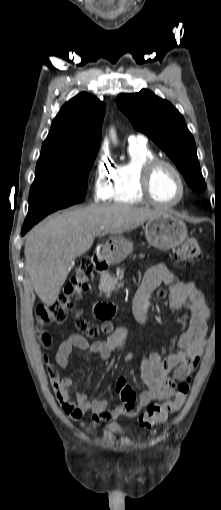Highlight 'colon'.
Wrapping results in <instances>:
<instances>
[{"mask_svg": "<svg viewBox=\"0 0 221 510\" xmlns=\"http://www.w3.org/2000/svg\"><path fill=\"white\" fill-rule=\"evenodd\" d=\"M201 249L195 239H188L177 250L176 258L179 261L194 263L201 258ZM94 276V268L89 260H83L72 277L71 281L66 285L64 292L52 303L40 305L35 309V319L38 324L46 325L49 323H62L66 320L67 315L74 310V302L88 288L89 282ZM158 297H163L164 292L159 290ZM78 320L76 327L79 331L90 338H95L102 333L112 331L110 322L104 323L102 326L90 324L81 318V312L76 311ZM38 338L44 348L51 346V337L44 331L38 332ZM46 363L49 362V356L44 355ZM51 367V366H50ZM56 374L49 368V379L52 384L56 381ZM130 387V386H129ZM190 389V376H186L178 385L177 393L173 399L162 403H150L146 411L140 415L139 423L141 427L150 429L156 425L163 424L168 419L169 414L178 411L184 404Z\"/></svg>", "mask_w": 221, "mask_h": 510, "instance_id": "1", "label": "colon"}]
</instances>
